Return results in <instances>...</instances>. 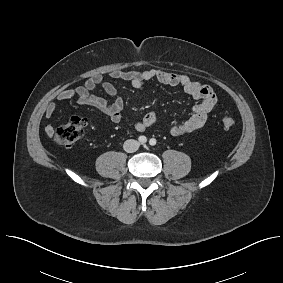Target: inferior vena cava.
Masks as SVG:
<instances>
[{
  "instance_id": "1",
  "label": "inferior vena cava",
  "mask_w": 283,
  "mask_h": 283,
  "mask_svg": "<svg viewBox=\"0 0 283 283\" xmlns=\"http://www.w3.org/2000/svg\"><path fill=\"white\" fill-rule=\"evenodd\" d=\"M139 142L134 139H129L124 142L123 148L127 153L136 152L139 148Z\"/></svg>"
}]
</instances>
